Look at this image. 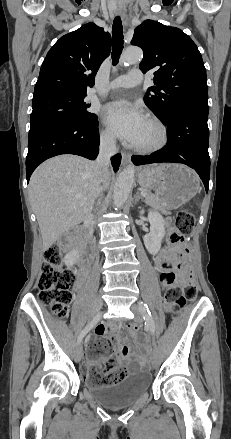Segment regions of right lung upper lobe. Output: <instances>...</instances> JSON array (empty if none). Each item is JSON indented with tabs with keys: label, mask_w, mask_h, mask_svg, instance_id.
Listing matches in <instances>:
<instances>
[{
	"label": "right lung upper lobe",
	"mask_w": 231,
	"mask_h": 439,
	"mask_svg": "<svg viewBox=\"0 0 231 439\" xmlns=\"http://www.w3.org/2000/svg\"><path fill=\"white\" fill-rule=\"evenodd\" d=\"M110 50V34L94 23L62 36L43 61L33 99L51 93L86 95Z\"/></svg>",
	"instance_id": "1"
}]
</instances>
